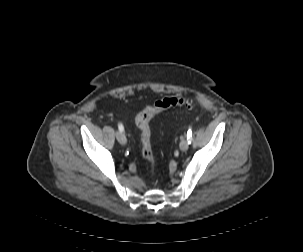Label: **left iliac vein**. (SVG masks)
Here are the masks:
<instances>
[{"label":"left iliac vein","mask_w":303,"mask_h":252,"mask_svg":"<svg viewBox=\"0 0 303 252\" xmlns=\"http://www.w3.org/2000/svg\"><path fill=\"white\" fill-rule=\"evenodd\" d=\"M188 147H189V142H188L187 139L182 140L180 142V149H181V151H186L188 149Z\"/></svg>","instance_id":"obj_1"}]
</instances>
